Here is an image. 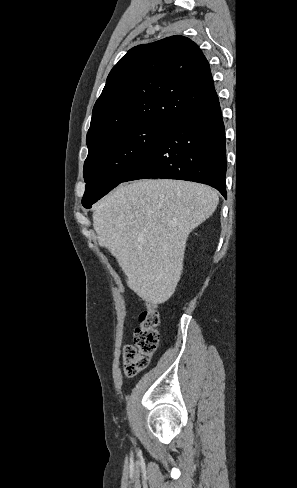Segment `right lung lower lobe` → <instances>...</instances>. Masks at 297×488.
I'll list each match as a JSON object with an SVG mask.
<instances>
[{"label":"right lung lower lobe","mask_w":297,"mask_h":488,"mask_svg":"<svg viewBox=\"0 0 297 488\" xmlns=\"http://www.w3.org/2000/svg\"><path fill=\"white\" fill-rule=\"evenodd\" d=\"M225 129L218 97L171 124L122 181L167 178L216 188L225 198Z\"/></svg>","instance_id":"obj_1"}]
</instances>
